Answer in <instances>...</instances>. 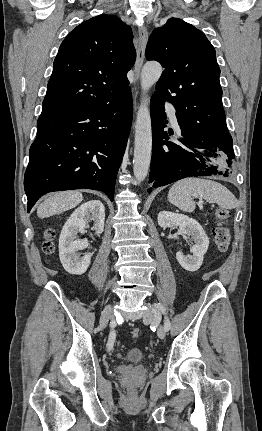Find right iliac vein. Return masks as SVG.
I'll return each instance as SVG.
<instances>
[{
	"label": "right iliac vein",
	"instance_id": "63e3f726",
	"mask_svg": "<svg viewBox=\"0 0 262 431\" xmlns=\"http://www.w3.org/2000/svg\"><path fill=\"white\" fill-rule=\"evenodd\" d=\"M113 316V308L112 306H107L104 311L102 312L101 318H100V327L101 329H104L108 322L110 321V319Z\"/></svg>",
	"mask_w": 262,
	"mask_h": 431
}]
</instances>
